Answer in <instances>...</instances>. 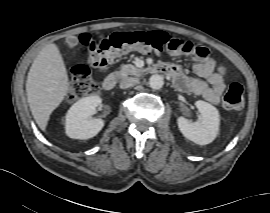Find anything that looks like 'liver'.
<instances>
[{
    "label": "liver",
    "mask_w": 270,
    "mask_h": 213,
    "mask_svg": "<svg viewBox=\"0 0 270 213\" xmlns=\"http://www.w3.org/2000/svg\"><path fill=\"white\" fill-rule=\"evenodd\" d=\"M69 85L57 45L47 44L33 61L26 82L27 101L41 130L46 129L51 113L65 98Z\"/></svg>",
    "instance_id": "obj_1"
}]
</instances>
